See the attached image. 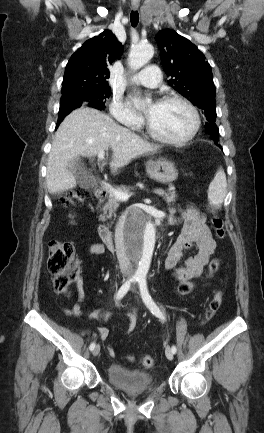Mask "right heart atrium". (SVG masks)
<instances>
[{"label": "right heart atrium", "mask_w": 264, "mask_h": 433, "mask_svg": "<svg viewBox=\"0 0 264 433\" xmlns=\"http://www.w3.org/2000/svg\"><path fill=\"white\" fill-rule=\"evenodd\" d=\"M110 113L118 122L136 128L141 125V118L128 106L121 96L113 97Z\"/></svg>", "instance_id": "obj_1"}]
</instances>
